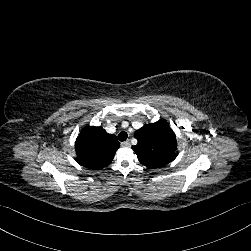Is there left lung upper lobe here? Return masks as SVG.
<instances>
[{
  "mask_svg": "<svg viewBox=\"0 0 251 251\" xmlns=\"http://www.w3.org/2000/svg\"><path fill=\"white\" fill-rule=\"evenodd\" d=\"M134 137L138 143L132 149L148 168L164 167L177 156L176 136L165 120L144 125Z\"/></svg>",
  "mask_w": 251,
  "mask_h": 251,
  "instance_id": "1",
  "label": "left lung upper lobe"
}]
</instances>
